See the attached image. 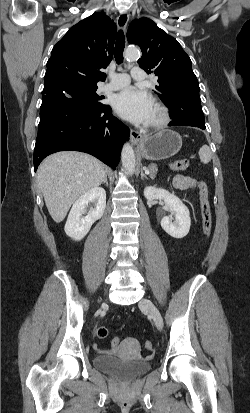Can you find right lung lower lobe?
<instances>
[{"label": "right lung lower lobe", "mask_w": 250, "mask_h": 413, "mask_svg": "<svg viewBox=\"0 0 250 413\" xmlns=\"http://www.w3.org/2000/svg\"><path fill=\"white\" fill-rule=\"evenodd\" d=\"M130 130L112 115L109 105L90 107L55 102L40 109L34 168L49 154L75 150L89 153L115 170Z\"/></svg>", "instance_id": "right-lung-lower-lobe-1"}]
</instances>
